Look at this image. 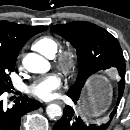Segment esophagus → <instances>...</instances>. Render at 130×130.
I'll use <instances>...</instances> for the list:
<instances>
[{"label": "esophagus", "instance_id": "esophagus-1", "mask_svg": "<svg viewBox=\"0 0 130 130\" xmlns=\"http://www.w3.org/2000/svg\"><path fill=\"white\" fill-rule=\"evenodd\" d=\"M54 103H57V104H59V105H63V102L61 101V100H55V101H53Z\"/></svg>", "mask_w": 130, "mask_h": 130}]
</instances>
